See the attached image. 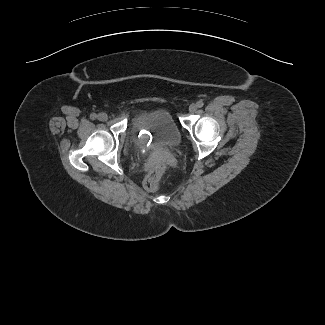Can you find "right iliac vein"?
Masks as SVG:
<instances>
[{
  "mask_svg": "<svg viewBox=\"0 0 325 325\" xmlns=\"http://www.w3.org/2000/svg\"><path fill=\"white\" fill-rule=\"evenodd\" d=\"M98 119L101 121H106L108 119V116L106 113H99L98 114Z\"/></svg>",
  "mask_w": 325,
  "mask_h": 325,
  "instance_id": "1",
  "label": "right iliac vein"
}]
</instances>
